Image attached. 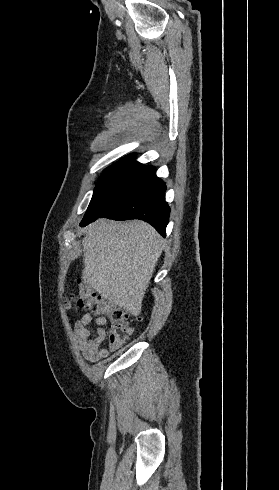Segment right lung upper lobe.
Instances as JSON below:
<instances>
[{"label": "right lung upper lobe", "instance_id": "right-lung-upper-lobe-1", "mask_svg": "<svg viewBox=\"0 0 279 490\" xmlns=\"http://www.w3.org/2000/svg\"><path fill=\"white\" fill-rule=\"evenodd\" d=\"M118 162H128V163L140 164V163L135 161V155L134 154H129Z\"/></svg>", "mask_w": 279, "mask_h": 490}]
</instances>
